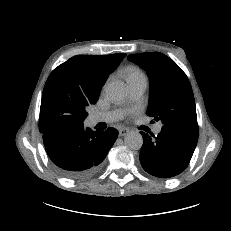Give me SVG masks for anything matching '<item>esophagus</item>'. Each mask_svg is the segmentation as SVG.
Returning <instances> with one entry per match:
<instances>
[{
    "label": "esophagus",
    "instance_id": "esophagus-1",
    "mask_svg": "<svg viewBox=\"0 0 231 231\" xmlns=\"http://www.w3.org/2000/svg\"><path fill=\"white\" fill-rule=\"evenodd\" d=\"M129 130L127 128H120L119 129V136H125Z\"/></svg>",
    "mask_w": 231,
    "mask_h": 231
}]
</instances>
